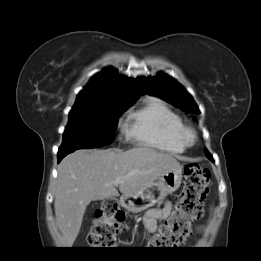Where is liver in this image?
Returning a JSON list of instances; mask_svg holds the SVG:
<instances>
[{
  "label": "liver",
  "instance_id": "1",
  "mask_svg": "<svg viewBox=\"0 0 261 261\" xmlns=\"http://www.w3.org/2000/svg\"><path fill=\"white\" fill-rule=\"evenodd\" d=\"M179 166L172 155L146 147L127 151L81 149L66 156L58 166L54 199L61 246L73 245L91 201L119 195L114 180L124 178L118 184L123 195L136 194Z\"/></svg>",
  "mask_w": 261,
  "mask_h": 261
}]
</instances>
